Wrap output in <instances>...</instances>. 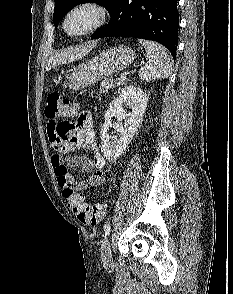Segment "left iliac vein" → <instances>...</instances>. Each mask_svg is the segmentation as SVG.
<instances>
[{
  "mask_svg": "<svg viewBox=\"0 0 233 294\" xmlns=\"http://www.w3.org/2000/svg\"><path fill=\"white\" fill-rule=\"evenodd\" d=\"M102 261L104 266L110 267L113 264L111 245L109 238H105L101 249Z\"/></svg>",
  "mask_w": 233,
  "mask_h": 294,
  "instance_id": "obj_1",
  "label": "left iliac vein"
}]
</instances>
